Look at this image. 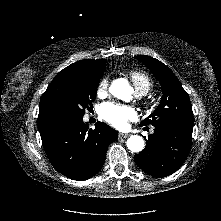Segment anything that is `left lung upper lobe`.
<instances>
[{
    "mask_svg": "<svg viewBox=\"0 0 221 221\" xmlns=\"http://www.w3.org/2000/svg\"><path fill=\"white\" fill-rule=\"evenodd\" d=\"M141 60L159 80L163 96L158 108L141 122V126L152 124H175L193 126L194 118L187 92L171 70L159 60L150 56H135Z\"/></svg>",
    "mask_w": 221,
    "mask_h": 221,
    "instance_id": "1",
    "label": "left lung upper lobe"
}]
</instances>
